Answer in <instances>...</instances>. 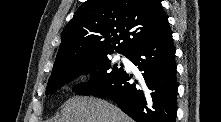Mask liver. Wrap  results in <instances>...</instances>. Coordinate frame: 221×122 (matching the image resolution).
Listing matches in <instances>:
<instances>
[{
  "label": "liver",
  "instance_id": "1",
  "mask_svg": "<svg viewBox=\"0 0 221 122\" xmlns=\"http://www.w3.org/2000/svg\"><path fill=\"white\" fill-rule=\"evenodd\" d=\"M58 122H132L113 104L98 98L74 96L61 110Z\"/></svg>",
  "mask_w": 221,
  "mask_h": 122
}]
</instances>
